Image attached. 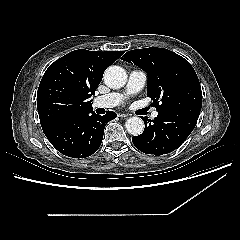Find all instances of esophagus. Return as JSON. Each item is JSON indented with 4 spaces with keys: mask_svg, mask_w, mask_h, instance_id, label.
<instances>
[{
    "mask_svg": "<svg viewBox=\"0 0 240 240\" xmlns=\"http://www.w3.org/2000/svg\"><path fill=\"white\" fill-rule=\"evenodd\" d=\"M118 116H119L120 118H127V117H129L128 114H124V113H118Z\"/></svg>",
    "mask_w": 240,
    "mask_h": 240,
    "instance_id": "esophagus-1",
    "label": "esophagus"
}]
</instances>
